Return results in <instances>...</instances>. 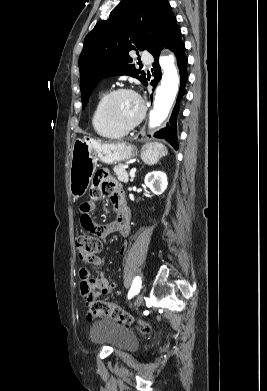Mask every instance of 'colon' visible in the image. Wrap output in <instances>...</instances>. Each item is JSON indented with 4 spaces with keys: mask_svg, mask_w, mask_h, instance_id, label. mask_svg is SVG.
Masks as SVG:
<instances>
[{
    "mask_svg": "<svg viewBox=\"0 0 267 391\" xmlns=\"http://www.w3.org/2000/svg\"><path fill=\"white\" fill-rule=\"evenodd\" d=\"M75 243L78 258L85 265H88L102 248L101 238L87 233L78 235ZM103 316H108L115 321L127 324L137 322L144 330L150 329V325L146 321L135 320L128 312L115 303L103 300L93 301L90 304L88 318L93 319Z\"/></svg>",
    "mask_w": 267,
    "mask_h": 391,
    "instance_id": "colon-1",
    "label": "colon"
}]
</instances>
